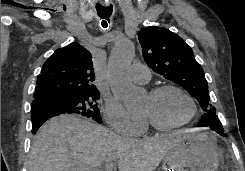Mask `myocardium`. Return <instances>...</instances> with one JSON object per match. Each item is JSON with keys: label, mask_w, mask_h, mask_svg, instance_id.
Wrapping results in <instances>:
<instances>
[{"label": "myocardium", "mask_w": 245, "mask_h": 171, "mask_svg": "<svg viewBox=\"0 0 245 171\" xmlns=\"http://www.w3.org/2000/svg\"><path fill=\"white\" fill-rule=\"evenodd\" d=\"M167 90H175V91H178L179 93H181L188 100L190 107H191V111H190L189 116L185 120H183L179 123H175V124L161 123V122L157 121L155 118H153L151 115L144 113L145 118L148 120V122L151 124V126L157 130H160V131H171V130L181 128V127L187 125L188 123H190L197 114V105H196L194 98L192 97V95L187 90H185L184 88H182L178 85L163 84V85L156 86L149 91V95L151 97H155V96H157V95H159L162 92L167 91Z\"/></svg>", "instance_id": "myocardium-1"}]
</instances>
